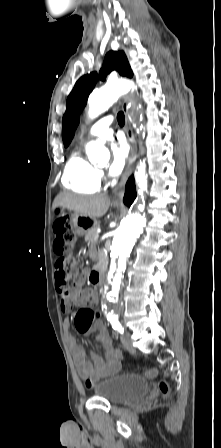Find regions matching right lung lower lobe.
<instances>
[{
    "instance_id": "1",
    "label": "right lung lower lobe",
    "mask_w": 221,
    "mask_h": 448,
    "mask_svg": "<svg viewBox=\"0 0 221 448\" xmlns=\"http://www.w3.org/2000/svg\"><path fill=\"white\" fill-rule=\"evenodd\" d=\"M136 198V189L133 176L129 178L126 184V192L123 198L124 203L130 206Z\"/></svg>"
}]
</instances>
